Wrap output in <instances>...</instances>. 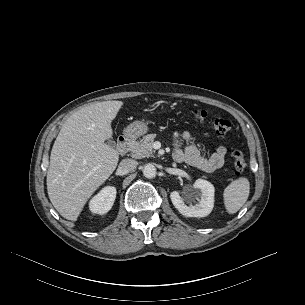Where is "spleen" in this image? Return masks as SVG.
Wrapping results in <instances>:
<instances>
[{"label":"spleen","instance_id":"3e777b00","mask_svg":"<svg viewBox=\"0 0 305 305\" xmlns=\"http://www.w3.org/2000/svg\"><path fill=\"white\" fill-rule=\"evenodd\" d=\"M250 192L249 180L245 177L232 181L223 193L224 205L229 214H234L245 204Z\"/></svg>","mask_w":305,"mask_h":305}]
</instances>
